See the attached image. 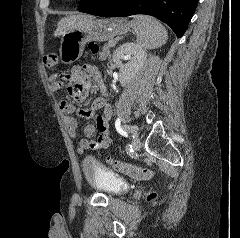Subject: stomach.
<instances>
[{"label": "stomach", "mask_w": 240, "mask_h": 238, "mask_svg": "<svg viewBox=\"0 0 240 238\" xmlns=\"http://www.w3.org/2000/svg\"><path fill=\"white\" fill-rule=\"evenodd\" d=\"M130 23L123 18L88 19L75 29L66 31L60 40L59 57L62 63L71 64L83 54L90 41H107L130 30Z\"/></svg>", "instance_id": "obj_1"}]
</instances>
